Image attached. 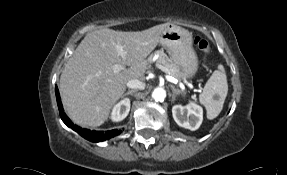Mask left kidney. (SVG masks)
I'll return each mask as SVG.
<instances>
[{
  "label": "left kidney",
  "instance_id": "5707ae66",
  "mask_svg": "<svg viewBox=\"0 0 287 175\" xmlns=\"http://www.w3.org/2000/svg\"><path fill=\"white\" fill-rule=\"evenodd\" d=\"M172 115L179 126L194 131L202 123L203 109L195 103H190L186 106L174 105Z\"/></svg>",
  "mask_w": 287,
  "mask_h": 175
}]
</instances>
